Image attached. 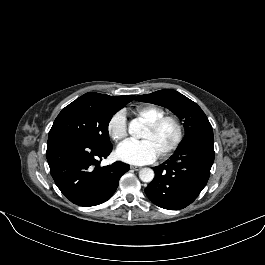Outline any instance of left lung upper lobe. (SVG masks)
<instances>
[{
    "mask_svg": "<svg viewBox=\"0 0 265 265\" xmlns=\"http://www.w3.org/2000/svg\"><path fill=\"white\" fill-rule=\"evenodd\" d=\"M135 99L168 108L183 120L185 138L182 141L201 130L212 128L202 109L195 102L175 90L163 89L151 94L136 96Z\"/></svg>",
    "mask_w": 265,
    "mask_h": 265,
    "instance_id": "obj_1",
    "label": "left lung upper lobe"
}]
</instances>
